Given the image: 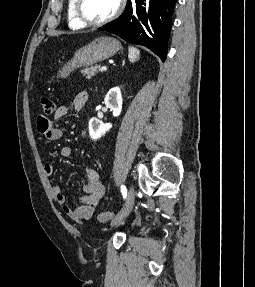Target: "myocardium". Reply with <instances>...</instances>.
<instances>
[{
	"label": "myocardium",
	"instance_id": "1",
	"mask_svg": "<svg viewBox=\"0 0 255 287\" xmlns=\"http://www.w3.org/2000/svg\"><path fill=\"white\" fill-rule=\"evenodd\" d=\"M94 23V22H91ZM89 33H94V32H89ZM111 33H117V32H111ZM89 39H98V38H89ZM108 39H122V38H108ZM121 48H130V47H121ZM132 48H145V47H132Z\"/></svg>",
	"mask_w": 255,
	"mask_h": 287
}]
</instances>
